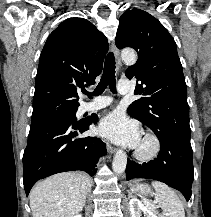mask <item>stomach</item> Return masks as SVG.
I'll return each mask as SVG.
<instances>
[{
	"instance_id": "1",
	"label": "stomach",
	"mask_w": 211,
	"mask_h": 217,
	"mask_svg": "<svg viewBox=\"0 0 211 217\" xmlns=\"http://www.w3.org/2000/svg\"><path fill=\"white\" fill-rule=\"evenodd\" d=\"M132 190L143 195L152 193L151 187L148 184H136L132 187Z\"/></svg>"
}]
</instances>
